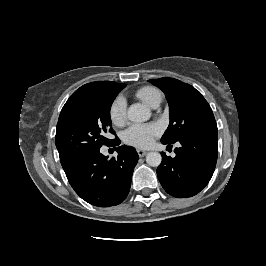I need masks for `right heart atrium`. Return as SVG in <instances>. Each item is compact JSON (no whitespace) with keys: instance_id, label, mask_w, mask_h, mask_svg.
Listing matches in <instances>:
<instances>
[{"instance_id":"1","label":"right heart atrium","mask_w":266,"mask_h":266,"mask_svg":"<svg viewBox=\"0 0 266 266\" xmlns=\"http://www.w3.org/2000/svg\"><path fill=\"white\" fill-rule=\"evenodd\" d=\"M110 118L115 125H122L127 119L126 102L122 96H118L110 108Z\"/></svg>"}]
</instances>
